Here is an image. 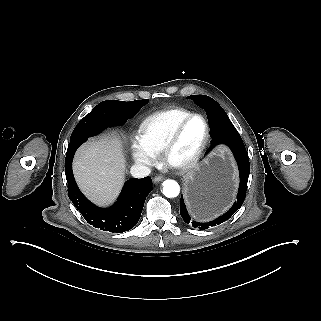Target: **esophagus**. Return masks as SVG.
Listing matches in <instances>:
<instances>
[{"mask_svg":"<svg viewBox=\"0 0 321 321\" xmlns=\"http://www.w3.org/2000/svg\"><path fill=\"white\" fill-rule=\"evenodd\" d=\"M162 180H164V177L163 176H156L155 178H154V182H161Z\"/></svg>","mask_w":321,"mask_h":321,"instance_id":"esophagus-1","label":"esophagus"}]
</instances>
